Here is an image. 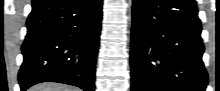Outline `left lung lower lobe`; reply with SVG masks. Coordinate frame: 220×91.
I'll use <instances>...</instances> for the list:
<instances>
[{
    "instance_id": "obj_1",
    "label": "left lung lower lobe",
    "mask_w": 220,
    "mask_h": 91,
    "mask_svg": "<svg viewBox=\"0 0 220 91\" xmlns=\"http://www.w3.org/2000/svg\"><path fill=\"white\" fill-rule=\"evenodd\" d=\"M195 0H133L131 91H205Z\"/></svg>"
}]
</instances>
